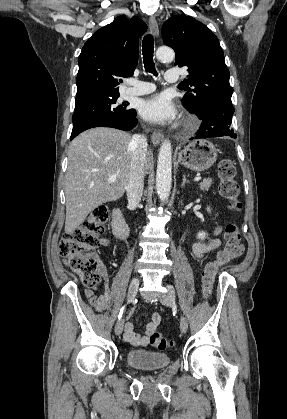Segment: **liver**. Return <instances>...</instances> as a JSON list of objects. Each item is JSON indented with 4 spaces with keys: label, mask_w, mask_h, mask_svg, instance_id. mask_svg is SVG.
Returning <instances> with one entry per match:
<instances>
[{
    "label": "liver",
    "mask_w": 287,
    "mask_h": 419,
    "mask_svg": "<svg viewBox=\"0 0 287 419\" xmlns=\"http://www.w3.org/2000/svg\"><path fill=\"white\" fill-rule=\"evenodd\" d=\"M131 135L113 128H93L69 145L65 177V233L72 234L90 212L123 196L129 179ZM151 165L146 153L145 170ZM116 180L109 182L110 176Z\"/></svg>",
    "instance_id": "1"
}]
</instances>
